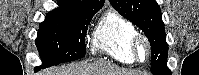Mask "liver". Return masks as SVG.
Segmentation results:
<instances>
[{"instance_id":"6515ba94","label":"liver","mask_w":199,"mask_h":75,"mask_svg":"<svg viewBox=\"0 0 199 75\" xmlns=\"http://www.w3.org/2000/svg\"><path fill=\"white\" fill-rule=\"evenodd\" d=\"M38 75H137L135 71L121 69L109 62L76 63L68 67L40 72Z\"/></svg>"}]
</instances>
